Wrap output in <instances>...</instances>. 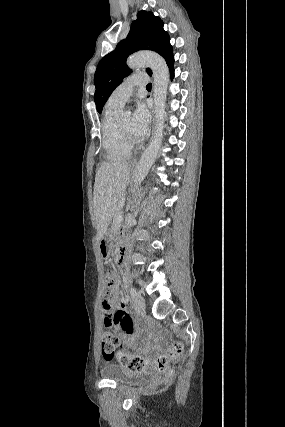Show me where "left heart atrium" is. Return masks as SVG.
<instances>
[{
	"label": "left heart atrium",
	"instance_id": "39dd6f15",
	"mask_svg": "<svg viewBox=\"0 0 285 427\" xmlns=\"http://www.w3.org/2000/svg\"><path fill=\"white\" fill-rule=\"evenodd\" d=\"M133 135L137 139L144 138L149 130L150 114L144 104L139 102L132 117Z\"/></svg>",
	"mask_w": 285,
	"mask_h": 427
}]
</instances>
